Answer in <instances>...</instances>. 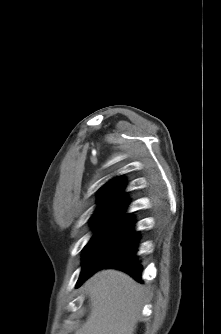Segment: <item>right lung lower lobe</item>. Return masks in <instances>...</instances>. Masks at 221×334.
<instances>
[{"instance_id":"right-lung-lower-lobe-1","label":"right lung lower lobe","mask_w":221,"mask_h":334,"mask_svg":"<svg viewBox=\"0 0 221 334\" xmlns=\"http://www.w3.org/2000/svg\"><path fill=\"white\" fill-rule=\"evenodd\" d=\"M138 238L139 237L136 236V238L124 250L119 252L105 266L101 268L120 269L133 276L137 281L142 282L141 280L142 265H140L136 259ZM97 270H95L94 272H96ZM94 272L86 276L83 281L78 282V286H80Z\"/></svg>"}]
</instances>
